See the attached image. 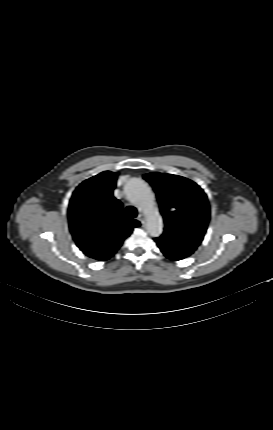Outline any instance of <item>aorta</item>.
<instances>
[{
	"mask_svg": "<svg viewBox=\"0 0 273 430\" xmlns=\"http://www.w3.org/2000/svg\"><path fill=\"white\" fill-rule=\"evenodd\" d=\"M126 195L145 214L148 233L152 237L160 236L163 232V219L155 207L154 195L149 185L142 179L132 178L126 185Z\"/></svg>",
	"mask_w": 273,
	"mask_h": 430,
	"instance_id": "1",
	"label": "aorta"
}]
</instances>
